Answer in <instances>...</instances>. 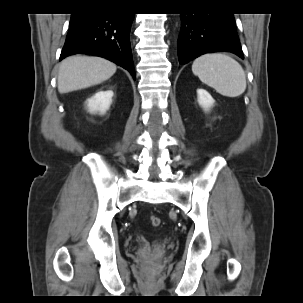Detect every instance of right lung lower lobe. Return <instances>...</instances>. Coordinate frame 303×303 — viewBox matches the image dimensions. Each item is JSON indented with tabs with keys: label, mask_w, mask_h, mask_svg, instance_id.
<instances>
[{
	"label": "right lung lower lobe",
	"mask_w": 303,
	"mask_h": 303,
	"mask_svg": "<svg viewBox=\"0 0 303 303\" xmlns=\"http://www.w3.org/2000/svg\"><path fill=\"white\" fill-rule=\"evenodd\" d=\"M133 13L86 9L74 13L60 60L74 54L97 55L128 70L135 79L130 47Z\"/></svg>",
	"instance_id": "98d812e1"
}]
</instances>
